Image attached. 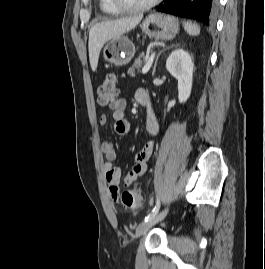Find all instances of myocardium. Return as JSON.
I'll return each instance as SVG.
<instances>
[{
    "instance_id": "myocardium-1",
    "label": "myocardium",
    "mask_w": 265,
    "mask_h": 269,
    "mask_svg": "<svg viewBox=\"0 0 265 269\" xmlns=\"http://www.w3.org/2000/svg\"><path fill=\"white\" fill-rule=\"evenodd\" d=\"M112 4L123 12H137V11H144L147 9H150L154 6H156L158 3H160L162 0H150L143 4L133 5L124 2L123 0H111Z\"/></svg>"
}]
</instances>
